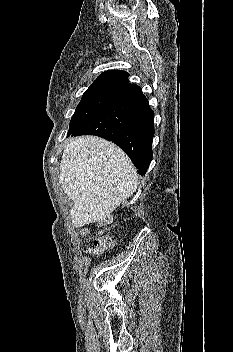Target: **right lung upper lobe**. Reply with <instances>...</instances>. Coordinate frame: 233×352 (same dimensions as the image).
I'll return each mask as SVG.
<instances>
[{
  "label": "right lung upper lobe",
  "instance_id": "cb5924a9",
  "mask_svg": "<svg viewBox=\"0 0 233 352\" xmlns=\"http://www.w3.org/2000/svg\"><path fill=\"white\" fill-rule=\"evenodd\" d=\"M129 74L126 71L121 70H108L103 72L90 87L99 86H119L127 87L141 92V88L135 84H131L128 81Z\"/></svg>",
  "mask_w": 233,
  "mask_h": 352
}]
</instances>
